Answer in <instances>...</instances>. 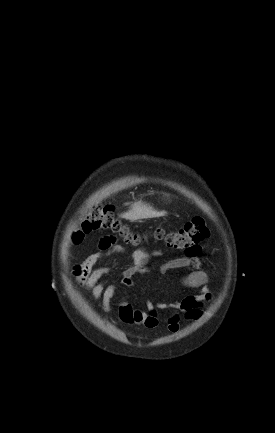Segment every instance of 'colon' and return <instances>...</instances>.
<instances>
[{
    "label": "colon",
    "instance_id": "colon-1",
    "mask_svg": "<svg viewBox=\"0 0 275 433\" xmlns=\"http://www.w3.org/2000/svg\"><path fill=\"white\" fill-rule=\"evenodd\" d=\"M112 231L121 236L127 243L138 244L143 237L132 231L115 214L111 205H95L84 215L80 225L73 233V241L79 243L85 235L96 231ZM209 236V229L201 217H194L178 229L158 227L154 237L164 241L169 247L182 250L186 256L195 255L198 245Z\"/></svg>",
    "mask_w": 275,
    "mask_h": 433
}]
</instances>
